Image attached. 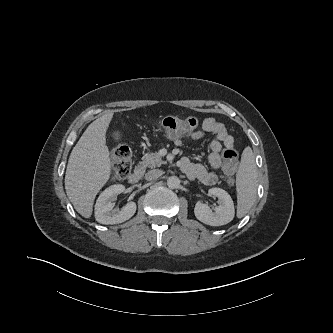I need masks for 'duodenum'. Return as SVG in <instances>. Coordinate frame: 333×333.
Listing matches in <instances>:
<instances>
[{
    "label": "duodenum",
    "instance_id": "410a0bca",
    "mask_svg": "<svg viewBox=\"0 0 333 333\" xmlns=\"http://www.w3.org/2000/svg\"><path fill=\"white\" fill-rule=\"evenodd\" d=\"M144 173V167L138 166L134 172L129 176L128 181L130 184H137L142 178Z\"/></svg>",
    "mask_w": 333,
    "mask_h": 333
}]
</instances>
